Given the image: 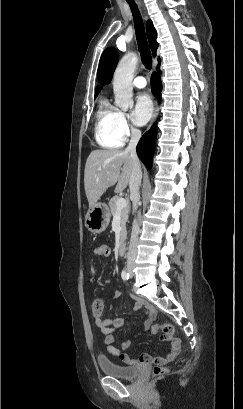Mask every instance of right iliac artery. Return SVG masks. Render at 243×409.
<instances>
[{"instance_id": "right-iliac-artery-1", "label": "right iliac artery", "mask_w": 243, "mask_h": 409, "mask_svg": "<svg viewBox=\"0 0 243 409\" xmlns=\"http://www.w3.org/2000/svg\"><path fill=\"white\" fill-rule=\"evenodd\" d=\"M121 277L123 280H128L129 279V273L126 271V269H124L121 273Z\"/></svg>"}]
</instances>
